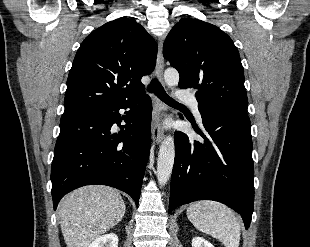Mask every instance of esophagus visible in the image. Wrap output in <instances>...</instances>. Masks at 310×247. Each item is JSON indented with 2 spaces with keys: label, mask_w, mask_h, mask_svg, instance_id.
I'll list each match as a JSON object with an SVG mask.
<instances>
[{
  "label": "esophagus",
  "mask_w": 310,
  "mask_h": 247,
  "mask_svg": "<svg viewBox=\"0 0 310 247\" xmlns=\"http://www.w3.org/2000/svg\"><path fill=\"white\" fill-rule=\"evenodd\" d=\"M163 41L160 38L158 42V54H157V76L162 80V75L164 71V59L162 54ZM154 102V118L152 124V138L155 143L159 144L163 139V130L161 127V116L160 112L164 109L162 102L153 96Z\"/></svg>",
  "instance_id": "1"
}]
</instances>
